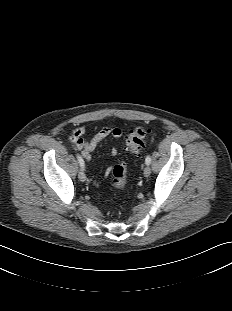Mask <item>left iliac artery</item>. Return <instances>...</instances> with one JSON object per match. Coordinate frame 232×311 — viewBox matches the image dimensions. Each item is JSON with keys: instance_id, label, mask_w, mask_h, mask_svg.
<instances>
[{"instance_id": "left-iliac-artery-1", "label": "left iliac artery", "mask_w": 232, "mask_h": 311, "mask_svg": "<svg viewBox=\"0 0 232 311\" xmlns=\"http://www.w3.org/2000/svg\"><path fill=\"white\" fill-rule=\"evenodd\" d=\"M145 162H146L147 165H149V164L151 163V157H150V155H148V156L146 157Z\"/></svg>"}]
</instances>
